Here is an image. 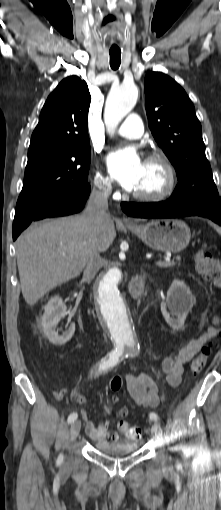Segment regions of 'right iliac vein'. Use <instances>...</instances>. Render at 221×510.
<instances>
[{"label":"right iliac vein","instance_id":"63e3f726","mask_svg":"<svg viewBox=\"0 0 221 510\" xmlns=\"http://www.w3.org/2000/svg\"><path fill=\"white\" fill-rule=\"evenodd\" d=\"M80 429H81V422H80V420H76L75 422H73V424L71 425V428H70V440L72 442L79 435Z\"/></svg>","mask_w":221,"mask_h":510}]
</instances>
